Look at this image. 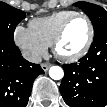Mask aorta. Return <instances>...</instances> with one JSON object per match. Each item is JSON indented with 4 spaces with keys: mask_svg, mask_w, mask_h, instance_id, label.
<instances>
[{
    "mask_svg": "<svg viewBox=\"0 0 107 107\" xmlns=\"http://www.w3.org/2000/svg\"><path fill=\"white\" fill-rule=\"evenodd\" d=\"M49 76L54 80H60L64 76V71L59 66H52L49 69Z\"/></svg>",
    "mask_w": 107,
    "mask_h": 107,
    "instance_id": "aorta-1",
    "label": "aorta"
}]
</instances>
